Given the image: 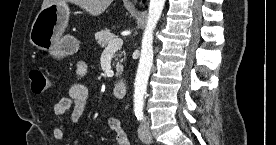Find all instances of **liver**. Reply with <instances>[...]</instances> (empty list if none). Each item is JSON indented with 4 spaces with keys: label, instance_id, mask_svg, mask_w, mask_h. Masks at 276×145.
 I'll list each match as a JSON object with an SVG mask.
<instances>
[{
    "label": "liver",
    "instance_id": "6515ba94",
    "mask_svg": "<svg viewBox=\"0 0 276 145\" xmlns=\"http://www.w3.org/2000/svg\"><path fill=\"white\" fill-rule=\"evenodd\" d=\"M66 2L79 6L92 16H98L108 8V6L112 3V0H43L41 9H44L52 3Z\"/></svg>",
    "mask_w": 276,
    "mask_h": 145
}]
</instances>
